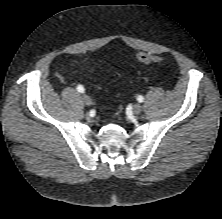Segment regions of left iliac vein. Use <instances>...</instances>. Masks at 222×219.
<instances>
[{"instance_id": "4c4485c4", "label": "left iliac vein", "mask_w": 222, "mask_h": 219, "mask_svg": "<svg viewBox=\"0 0 222 219\" xmlns=\"http://www.w3.org/2000/svg\"><path fill=\"white\" fill-rule=\"evenodd\" d=\"M141 111H142V106H141L140 104H135V105L133 106V112H134L135 114H139Z\"/></svg>"}]
</instances>
